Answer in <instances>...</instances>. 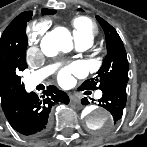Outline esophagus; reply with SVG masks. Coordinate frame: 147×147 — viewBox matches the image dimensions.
Returning <instances> with one entry per match:
<instances>
[{"label": "esophagus", "instance_id": "34e87169", "mask_svg": "<svg viewBox=\"0 0 147 147\" xmlns=\"http://www.w3.org/2000/svg\"><path fill=\"white\" fill-rule=\"evenodd\" d=\"M70 102L73 103V104H79L80 103V98L75 97V96H71L70 97Z\"/></svg>", "mask_w": 147, "mask_h": 147}]
</instances>
